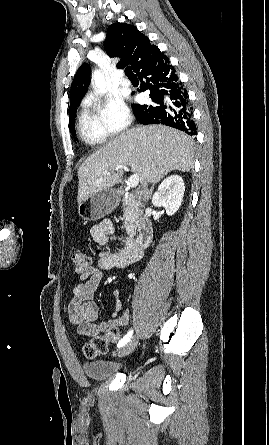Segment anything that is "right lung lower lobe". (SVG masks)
Instances as JSON below:
<instances>
[{"label":"right lung lower lobe","instance_id":"1","mask_svg":"<svg viewBox=\"0 0 269 445\" xmlns=\"http://www.w3.org/2000/svg\"><path fill=\"white\" fill-rule=\"evenodd\" d=\"M136 74L141 80L138 91L150 90L153 101L151 104H133L137 120L142 124H163L195 135L196 125L187 91L169 65L167 56L149 62Z\"/></svg>","mask_w":269,"mask_h":445}]
</instances>
